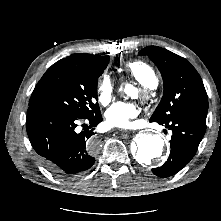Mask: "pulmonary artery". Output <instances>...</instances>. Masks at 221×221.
I'll return each mask as SVG.
<instances>
[{
  "label": "pulmonary artery",
  "instance_id": "1",
  "mask_svg": "<svg viewBox=\"0 0 221 221\" xmlns=\"http://www.w3.org/2000/svg\"><path fill=\"white\" fill-rule=\"evenodd\" d=\"M157 83H154L150 88H155Z\"/></svg>",
  "mask_w": 221,
  "mask_h": 221
}]
</instances>
